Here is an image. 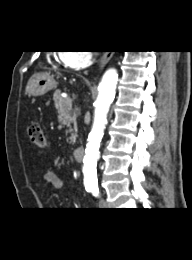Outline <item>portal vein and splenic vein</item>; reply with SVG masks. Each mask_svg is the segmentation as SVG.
<instances>
[{"label":"portal vein and splenic vein","mask_w":192,"mask_h":260,"mask_svg":"<svg viewBox=\"0 0 192 260\" xmlns=\"http://www.w3.org/2000/svg\"><path fill=\"white\" fill-rule=\"evenodd\" d=\"M66 105L68 108H72V100L70 98H67Z\"/></svg>","instance_id":"portal-vein-and-splenic-vein-1"}]
</instances>
